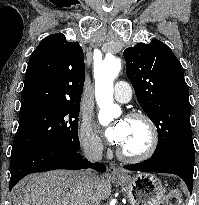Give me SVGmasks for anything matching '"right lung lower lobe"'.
Returning <instances> with one entry per match:
<instances>
[{
    "label": "right lung lower lobe",
    "instance_id": "obj_1",
    "mask_svg": "<svg viewBox=\"0 0 199 205\" xmlns=\"http://www.w3.org/2000/svg\"><path fill=\"white\" fill-rule=\"evenodd\" d=\"M80 149V148H79ZM65 145L43 146L17 157L11 158L10 190L23 177L34 172H44L54 169H85L93 168L104 172L106 167L100 163H91L78 152Z\"/></svg>",
    "mask_w": 199,
    "mask_h": 205
}]
</instances>
